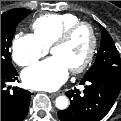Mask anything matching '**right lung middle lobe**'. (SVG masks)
Instances as JSON below:
<instances>
[{
  "instance_id": "obj_1",
  "label": "right lung middle lobe",
  "mask_w": 121,
  "mask_h": 121,
  "mask_svg": "<svg viewBox=\"0 0 121 121\" xmlns=\"http://www.w3.org/2000/svg\"><path fill=\"white\" fill-rule=\"evenodd\" d=\"M30 13V10L18 8L1 15V69H15L9 48L17 25Z\"/></svg>"
}]
</instances>
